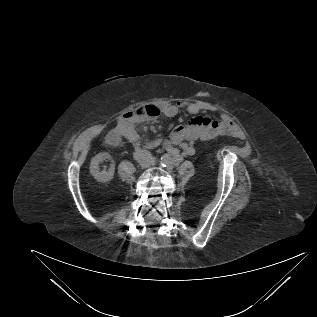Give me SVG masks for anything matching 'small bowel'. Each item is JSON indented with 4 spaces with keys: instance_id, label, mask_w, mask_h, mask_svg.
Masks as SVG:
<instances>
[{
    "instance_id": "small-bowel-1",
    "label": "small bowel",
    "mask_w": 317,
    "mask_h": 317,
    "mask_svg": "<svg viewBox=\"0 0 317 317\" xmlns=\"http://www.w3.org/2000/svg\"><path fill=\"white\" fill-rule=\"evenodd\" d=\"M182 109L191 114L192 118L186 125L176 126L171 132L170 139L164 143L166 151L176 157L179 156L178 146L181 148L182 156H192L195 154L193 141H206L219 135H235L238 132L235 125H231L225 120L212 119L201 115L206 110V107L198 102L163 101L160 104L162 115L168 118L175 117ZM114 132L121 133L135 144H140V137L135 129L133 120L121 122L112 133Z\"/></svg>"
}]
</instances>
